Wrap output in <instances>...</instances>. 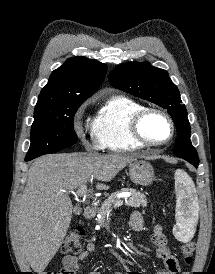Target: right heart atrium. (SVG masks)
Returning a JSON list of instances; mask_svg holds the SVG:
<instances>
[{"mask_svg":"<svg viewBox=\"0 0 215 274\" xmlns=\"http://www.w3.org/2000/svg\"><path fill=\"white\" fill-rule=\"evenodd\" d=\"M77 133H78V135L80 137H82V131H81V129L79 127H77ZM87 147H88L89 150H98V149H101L96 142L93 143V144H88Z\"/></svg>","mask_w":215,"mask_h":274,"instance_id":"1","label":"right heart atrium"}]
</instances>
